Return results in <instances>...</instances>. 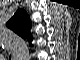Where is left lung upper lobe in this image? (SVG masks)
<instances>
[{
    "instance_id": "left-lung-upper-lobe-1",
    "label": "left lung upper lobe",
    "mask_w": 80,
    "mask_h": 60,
    "mask_svg": "<svg viewBox=\"0 0 80 60\" xmlns=\"http://www.w3.org/2000/svg\"><path fill=\"white\" fill-rule=\"evenodd\" d=\"M7 26L24 39L28 38L30 42L32 41V36L29 32L31 21L24 10H18L8 21Z\"/></svg>"
}]
</instances>
